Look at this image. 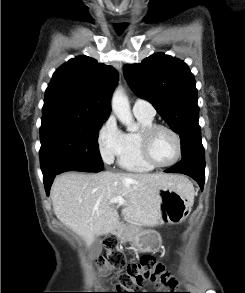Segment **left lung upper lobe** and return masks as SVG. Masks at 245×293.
<instances>
[{
    "instance_id": "1",
    "label": "left lung upper lobe",
    "mask_w": 245,
    "mask_h": 293,
    "mask_svg": "<svg viewBox=\"0 0 245 293\" xmlns=\"http://www.w3.org/2000/svg\"><path fill=\"white\" fill-rule=\"evenodd\" d=\"M123 70L133 91L151 102L170 128L180 135L182 160L205 163L197 89L188 66L157 53L140 64H126Z\"/></svg>"
}]
</instances>
